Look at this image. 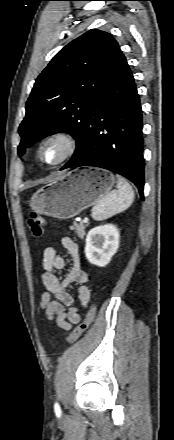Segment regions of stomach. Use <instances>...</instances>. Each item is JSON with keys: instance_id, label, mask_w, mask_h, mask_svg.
Masks as SVG:
<instances>
[{"instance_id": "obj_1", "label": "stomach", "mask_w": 174, "mask_h": 440, "mask_svg": "<svg viewBox=\"0 0 174 440\" xmlns=\"http://www.w3.org/2000/svg\"><path fill=\"white\" fill-rule=\"evenodd\" d=\"M114 175L104 169L84 167L74 169L43 186L33 194L31 208L58 219L77 216L110 192Z\"/></svg>"}]
</instances>
